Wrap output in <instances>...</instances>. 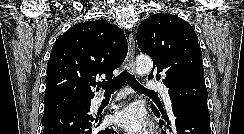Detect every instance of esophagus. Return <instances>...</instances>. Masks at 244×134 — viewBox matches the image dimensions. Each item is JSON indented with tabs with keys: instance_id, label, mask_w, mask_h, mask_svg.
I'll return each mask as SVG.
<instances>
[{
	"instance_id": "obj_1",
	"label": "esophagus",
	"mask_w": 244,
	"mask_h": 134,
	"mask_svg": "<svg viewBox=\"0 0 244 134\" xmlns=\"http://www.w3.org/2000/svg\"><path fill=\"white\" fill-rule=\"evenodd\" d=\"M134 56H135V41L133 34L128 35V54H127V66L130 73H134Z\"/></svg>"
}]
</instances>
